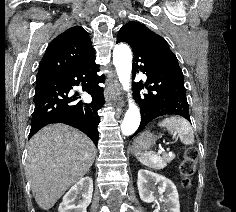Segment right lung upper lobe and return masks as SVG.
Instances as JSON below:
<instances>
[{"label":"right lung upper lobe","mask_w":236,"mask_h":212,"mask_svg":"<svg viewBox=\"0 0 236 212\" xmlns=\"http://www.w3.org/2000/svg\"><path fill=\"white\" fill-rule=\"evenodd\" d=\"M94 55L88 33L81 26L71 27L49 44L39 64L37 76L68 73Z\"/></svg>","instance_id":"1"}]
</instances>
